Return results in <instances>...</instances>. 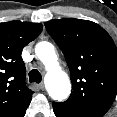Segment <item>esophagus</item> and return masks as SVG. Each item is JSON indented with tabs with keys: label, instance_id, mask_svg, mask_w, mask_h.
<instances>
[{
	"label": "esophagus",
	"instance_id": "obj_1",
	"mask_svg": "<svg viewBox=\"0 0 117 117\" xmlns=\"http://www.w3.org/2000/svg\"><path fill=\"white\" fill-rule=\"evenodd\" d=\"M38 88H39V90L43 91L45 89L44 83L38 84Z\"/></svg>",
	"mask_w": 117,
	"mask_h": 117
}]
</instances>
